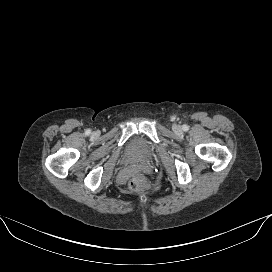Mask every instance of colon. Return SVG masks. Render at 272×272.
<instances>
[{
    "instance_id": "colon-1",
    "label": "colon",
    "mask_w": 272,
    "mask_h": 272,
    "mask_svg": "<svg viewBox=\"0 0 272 272\" xmlns=\"http://www.w3.org/2000/svg\"><path fill=\"white\" fill-rule=\"evenodd\" d=\"M129 188L133 191L141 192L149 188V183L141 174L134 175L129 181Z\"/></svg>"
}]
</instances>
